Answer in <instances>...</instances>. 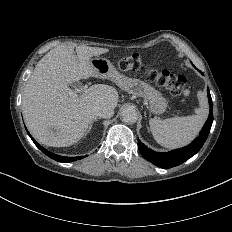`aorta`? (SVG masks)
Returning <instances> with one entry per match:
<instances>
[{
	"mask_svg": "<svg viewBox=\"0 0 232 232\" xmlns=\"http://www.w3.org/2000/svg\"><path fill=\"white\" fill-rule=\"evenodd\" d=\"M138 120V113L134 107H127L122 111V121L135 123Z\"/></svg>",
	"mask_w": 232,
	"mask_h": 232,
	"instance_id": "1",
	"label": "aorta"
}]
</instances>
